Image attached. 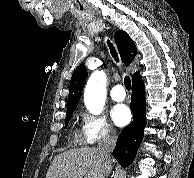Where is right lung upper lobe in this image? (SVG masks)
Segmentation results:
<instances>
[{
	"instance_id": "right-lung-upper-lobe-1",
	"label": "right lung upper lobe",
	"mask_w": 194,
	"mask_h": 178,
	"mask_svg": "<svg viewBox=\"0 0 194 178\" xmlns=\"http://www.w3.org/2000/svg\"><path fill=\"white\" fill-rule=\"evenodd\" d=\"M115 42L118 46V50L123 63L125 65H129L136 56L137 50H136L135 43L133 42V40H131L129 35L122 30H119L116 32ZM86 78H87V70L85 68V65L81 64L73 72V75L71 78L69 94H68V102H67L68 104L67 112L74 111L76 109L79 99L81 97V93H82ZM137 78H140L139 72H136L132 76V80L134 81Z\"/></svg>"
}]
</instances>
